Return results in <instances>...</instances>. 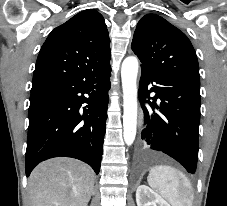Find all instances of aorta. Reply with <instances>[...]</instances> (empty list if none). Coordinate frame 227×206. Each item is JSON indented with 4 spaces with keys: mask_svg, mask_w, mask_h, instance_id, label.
Here are the masks:
<instances>
[{
    "mask_svg": "<svg viewBox=\"0 0 227 206\" xmlns=\"http://www.w3.org/2000/svg\"><path fill=\"white\" fill-rule=\"evenodd\" d=\"M137 74L138 59L134 56L125 58L121 67L123 88V137L127 145H131L137 128Z\"/></svg>",
    "mask_w": 227,
    "mask_h": 206,
    "instance_id": "1",
    "label": "aorta"
}]
</instances>
